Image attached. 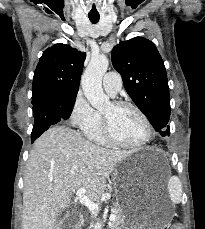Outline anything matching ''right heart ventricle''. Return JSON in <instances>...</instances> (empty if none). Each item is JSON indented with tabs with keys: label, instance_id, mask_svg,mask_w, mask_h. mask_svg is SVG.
<instances>
[{
	"label": "right heart ventricle",
	"instance_id": "1",
	"mask_svg": "<svg viewBox=\"0 0 205 229\" xmlns=\"http://www.w3.org/2000/svg\"><path fill=\"white\" fill-rule=\"evenodd\" d=\"M97 115L96 122L83 132L84 135L92 142L100 145H106L108 144V141L106 140L103 132L102 115L98 112Z\"/></svg>",
	"mask_w": 205,
	"mask_h": 229
}]
</instances>
